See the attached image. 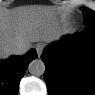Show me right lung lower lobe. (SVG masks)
Masks as SVG:
<instances>
[{
    "mask_svg": "<svg viewBox=\"0 0 95 95\" xmlns=\"http://www.w3.org/2000/svg\"><path fill=\"white\" fill-rule=\"evenodd\" d=\"M37 57L34 49L23 56H12L0 61V81L2 95H16L19 83L29 63Z\"/></svg>",
    "mask_w": 95,
    "mask_h": 95,
    "instance_id": "1",
    "label": "right lung lower lobe"
}]
</instances>
